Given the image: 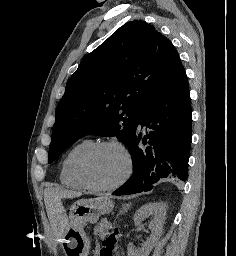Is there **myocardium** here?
Wrapping results in <instances>:
<instances>
[{
  "mask_svg": "<svg viewBox=\"0 0 236 256\" xmlns=\"http://www.w3.org/2000/svg\"><path fill=\"white\" fill-rule=\"evenodd\" d=\"M107 147H115L119 149L125 158V171L121 179L114 185L109 187H97L93 185L89 178L87 173L88 163L90 159L98 153L100 150L107 148ZM133 173V158L129 151V149L121 142L117 140H106L101 141L96 144H94L81 158L78 166V175L80 178V181L84 185L86 189H88L91 192L98 193V194H106V193H112L119 188H121L123 185H125Z\"/></svg>",
  "mask_w": 236,
  "mask_h": 256,
  "instance_id": "myocardium-1",
  "label": "myocardium"
}]
</instances>
